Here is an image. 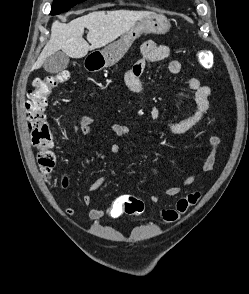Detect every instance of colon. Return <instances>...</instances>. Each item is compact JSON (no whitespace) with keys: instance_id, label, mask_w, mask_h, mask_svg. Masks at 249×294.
I'll return each mask as SVG.
<instances>
[{"instance_id":"colon-1","label":"colon","mask_w":249,"mask_h":294,"mask_svg":"<svg viewBox=\"0 0 249 294\" xmlns=\"http://www.w3.org/2000/svg\"><path fill=\"white\" fill-rule=\"evenodd\" d=\"M198 63L206 70L214 68L213 56L205 51L196 53ZM67 71L58 72L35 79L33 89L28 93L27 112L31 130L32 145L37 150V161L40 170L44 174H50L56 164V156L53 152L54 134L51 130L46 113L48 101L53 91L69 79ZM200 199V193L194 192L180 198L176 206L162 211V218L166 223L178 221ZM145 211L142 200L131 196H121L113 201L110 206V214L114 217L122 215L140 216Z\"/></svg>"}]
</instances>
